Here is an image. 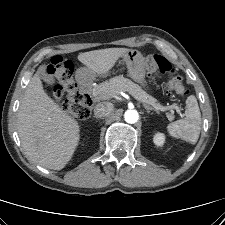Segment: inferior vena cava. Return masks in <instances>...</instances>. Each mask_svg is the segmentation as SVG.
<instances>
[{"instance_id": "602c4592", "label": "inferior vena cava", "mask_w": 225, "mask_h": 225, "mask_svg": "<svg viewBox=\"0 0 225 225\" xmlns=\"http://www.w3.org/2000/svg\"><path fill=\"white\" fill-rule=\"evenodd\" d=\"M113 111V105L109 102L98 103L94 107V115L97 118H104L109 116Z\"/></svg>"}]
</instances>
